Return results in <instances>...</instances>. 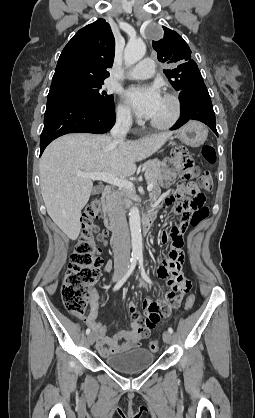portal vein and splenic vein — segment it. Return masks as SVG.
Segmentation results:
<instances>
[{"label": "portal vein and splenic vein", "mask_w": 255, "mask_h": 418, "mask_svg": "<svg viewBox=\"0 0 255 418\" xmlns=\"http://www.w3.org/2000/svg\"><path fill=\"white\" fill-rule=\"evenodd\" d=\"M77 175L80 177L90 178L92 180H101V181L118 186L119 188H123L126 190H133L134 188V185L132 182L124 178L112 175L110 173H106V172H99V173L78 172ZM152 188H153L152 184H148L147 190L151 191Z\"/></svg>", "instance_id": "1"}]
</instances>
